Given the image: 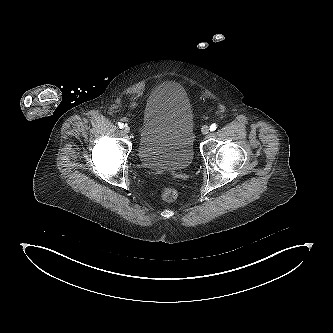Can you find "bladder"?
<instances>
[{"label": "bladder", "instance_id": "1", "mask_svg": "<svg viewBox=\"0 0 333 333\" xmlns=\"http://www.w3.org/2000/svg\"><path fill=\"white\" fill-rule=\"evenodd\" d=\"M192 105L184 86L166 80L147 98L139 128L138 157L150 169L183 170L194 157Z\"/></svg>", "mask_w": 333, "mask_h": 333}]
</instances>
